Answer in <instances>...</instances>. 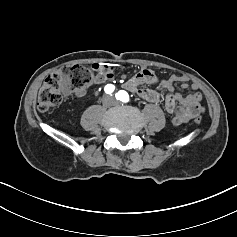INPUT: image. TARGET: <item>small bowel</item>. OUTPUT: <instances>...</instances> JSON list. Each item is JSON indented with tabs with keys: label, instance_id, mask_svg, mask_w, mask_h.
Returning <instances> with one entry per match:
<instances>
[{
	"label": "small bowel",
	"instance_id": "1",
	"mask_svg": "<svg viewBox=\"0 0 237 237\" xmlns=\"http://www.w3.org/2000/svg\"><path fill=\"white\" fill-rule=\"evenodd\" d=\"M113 78V70L99 73L94 83L102 84L106 81L113 80ZM177 82H181L182 89L189 87L184 77L173 75L169 78L162 79L157 77L152 70L144 68L127 79L123 83V87L148 102H158L164 95L165 110L172 114L174 125H181L200 115L204 111V107L202 105V95L198 91L197 85L193 84L191 86L194 91L193 93L184 95L181 92H175L174 85ZM146 86H154L155 89ZM86 93L87 91L84 89L78 91L64 90L66 96L75 95L82 97Z\"/></svg>",
	"mask_w": 237,
	"mask_h": 237
}]
</instances>
